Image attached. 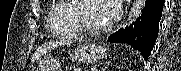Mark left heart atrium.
Listing matches in <instances>:
<instances>
[{"instance_id": "1", "label": "left heart atrium", "mask_w": 181, "mask_h": 71, "mask_svg": "<svg viewBox=\"0 0 181 71\" xmlns=\"http://www.w3.org/2000/svg\"><path fill=\"white\" fill-rule=\"evenodd\" d=\"M118 12V1L108 0L106 1V8L104 18L106 22L113 20Z\"/></svg>"}]
</instances>
